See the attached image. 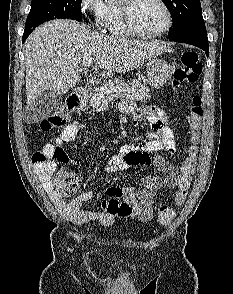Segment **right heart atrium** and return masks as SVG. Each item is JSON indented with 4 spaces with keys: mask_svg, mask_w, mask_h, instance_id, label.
I'll return each mask as SVG.
<instances>
[{
    "mask_svg": "<svg viewBox=\"0 0 233 294\" xmlns=\"http://www.w3.org/2000/svg\"><path fill=\"white\" fill-rule=\"evenodd\" d=\"M80 11L96 27L102 28L108 6L104 0H80Z\"/></svg>",
    "mask_w": 233,
    "mask_h": 294,
    "instance_id": "right-heart-atrium-1",
    "label": "right heart atrium"
}]
</instances>
